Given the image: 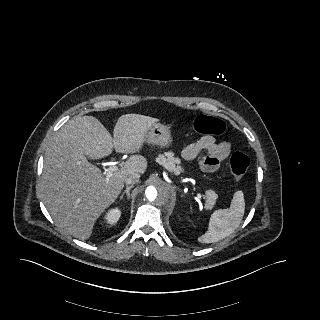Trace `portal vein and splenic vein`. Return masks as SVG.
Segmentation results:
<instances>
[{
  "mask_svg": "<svg viewBox=\"0 0 320 320\" xmlns=\"http://www.w3.org/2000/svg\"><path fill=\"white\" fill-rule=\"evenodd\" d=\"M118 170V167L116 166V164L113 162L111 164V166L108 168V174H112L113 172L117 171ZM198 198L201 200V195L200 194H197Z\"/></svg>",
  "mask_w": 320,
  "mask_h": 320,
  "instance_id": "1",
  "label": "portal vein and splenic vein"
}]
</instances>
